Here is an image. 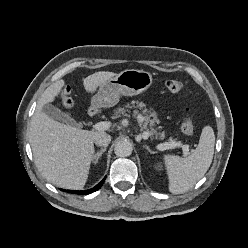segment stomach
I'll list each match as a JSON object with an SVG mask.
<instances>
[{
	"label": "stomach",
	"mask_w": 248,
	"mask_h": 248,
	"mask_svg": "<svg viewBox=\"0 0 248 248\" xmlns=\"http://www.w3.org/2000/svg\"><path fill=\"white\" fill-rule=\"evenodd\" d=\"M153 83L152 75L144 70L127 69L108 79L91 99L93 109L116 105L120 96H134L146 91Z\"/></svg>",
	"instance_id": "obj_1"
}]
</instances>
